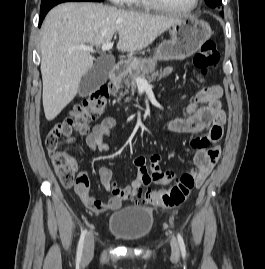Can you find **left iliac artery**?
I'll list each match as a JSON object with an SVG mask.
<instances>
[{
	"label": "left iliac artery",
	"instance_id": "left-iliac-artery-1",
	"mask_svg": "<svg viewBox=\"0 0 265 269\" xmlns=\"http://www.w3.org/2000/svg\"><path fill=\"white\" fill-rule=\"evenodd\" d=\"M177 238H178V242H179V246H180V249H181L182 256L185 257L186 248H185V243H184L183 237L181 236V234L178 233Z\"/></svg>",
	"mask_w": 265,
	"mask_h": 269
}]
</instances>
